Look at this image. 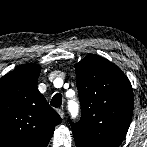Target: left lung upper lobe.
Masks as SVG:
<instances>
[{
  "instance_id": "obj_1",
  "label": "left lung upper lobe",
  "mask_w": 147,
  "mask_h": 147,
  "mask_svg": "<svg viewBox=\"0 0 147 147\" xmlns=\"http://www.w3.org/2000/svg\"><path fill=\"white\" fill-rule=\"evenodd\" d=\"M81 119L70 121L76 147H119L133 111L126 75L101 56L90 54L75 65Z\"/></svg>"
}]
</instances>
